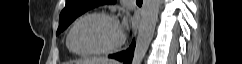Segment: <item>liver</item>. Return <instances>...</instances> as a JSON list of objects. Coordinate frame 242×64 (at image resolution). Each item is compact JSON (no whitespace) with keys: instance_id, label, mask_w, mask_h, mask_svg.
<instances>
[{"instance_id":"liver-1","label":"liver","mask_w":242,"mask_h":64,"mask_svg":"<svg viewBox=\"0 0 242 64\" xmlns=\"http://www.w3.org/2000/svg\"><path fill=\"white\" fill-rule=\"evenodd\" d=\"M81 63H87V64H119L117 61L114 60H108L104 57H98L93 59H87L80 61Z\"/></svg>"}]
</instances>
